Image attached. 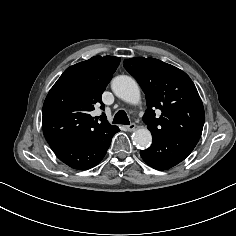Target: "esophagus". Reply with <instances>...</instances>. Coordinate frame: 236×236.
I'll use <instances>...</instances> for the list:
<instances>
[{
  "label": "esophagus",
  "instance_id": "obj_1",
  "mask_svg": "<svg viewBox=\"0 0 236 236\" xmlns=\"http://www.w3.org/2000/svg\"><path fill=\"white\" fill-rule=\"evenodd\" d=\"M126 128H127L128 131L131 132V131L135 130L136 125L134 123H131L130 125H127Z\"/></svg>",
  "mask_w": 236,
  "mask_h": 236
}]
</instances>
